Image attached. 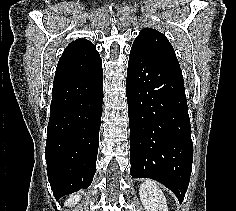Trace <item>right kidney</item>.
<instances>
[{"mask_svg":"<svg viewBox=\"0 0 236 211\" xmlns=\"http://www.w3.org/2000/svg\"><path fill=\"white\" fill-rule=\"evenodd\" d=\"M79 200H80L79 194L78 195H73L65 201L64 205L65 206H71V205L73 206V205L77 204V202Z\"/></svg>","mask_w":236,"mask_h":211,"instance_id":"right-kidney-1","label":"right kidney"}]
</instances>
